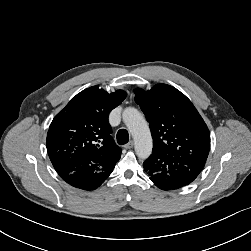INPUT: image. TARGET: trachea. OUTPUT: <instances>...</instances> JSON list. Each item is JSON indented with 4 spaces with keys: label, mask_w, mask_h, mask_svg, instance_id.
<instances>
[{
    "label": "trachea",
    "mask_w": 251,
    "mask_h": 251,
    "mask_svg": "<svg viewBox=\"0 0 251 251\" xmlns=\"http://www.w3.org/2000/svg\"><path fill=\"white\" fill-rule=\"evenodd\" d=\"M117 142L120 145L126 144L129 141V134L128 131L126 129H120L117 132Z\"/></svg>",
    "instance_id": "3493384b"
}]
</instances>
